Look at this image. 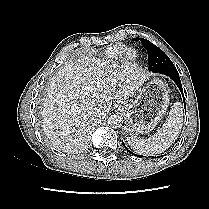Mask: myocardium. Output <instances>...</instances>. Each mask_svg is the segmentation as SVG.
Masks as SVG:
<instances>
[{
  "label": "myocardium",
  "instance_id": "obj_1",
  "mask_svg": "<svg viewBox=\"0 0 209 209\" xmlns=\"http://www.w3.org/2000/svg\"><path fill=\"white\" fill-rule=\"evenodd\" d=\"M135 53V51L131 48H126L122 51V56L125 58V59H130L131 56Z\"/></svg>",
  "mask_w": 209,
  "mask_h": 209
}]
</instances>
